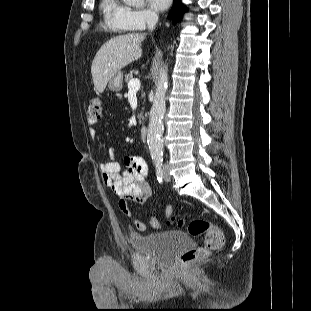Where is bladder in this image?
Wrapping results in <instances>:
<instances>
[{
	"label": "bladder",
	"mask_w": 311,
	"mask_h": 311,
	"mask_svg": "<svg viewBox=\"0 0 311 311\" xmlns=\"http://www.w3.org/2000/svg\"><path fill=\"white\" fill-rule=\"evenodd\" d=\"M129 241L135 251L152 254L160 262H170L191 244L189 236L177 230L132 234Z\"/></svg>",
	"instance_id": "obj_1"
}]
</instances>
